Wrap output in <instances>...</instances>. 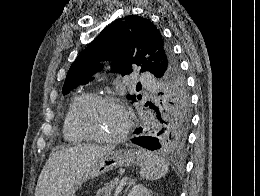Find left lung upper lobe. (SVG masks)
I'll return each instance as SVG.
<instances>
[{
    "label": "left lung upper lobe",
    "instance_id": "5c2ea615",
    "mask_svg": "<svg viewBox=\"0 0 260 196\" xmlns=\"http://www.w3.org/2000/svg\"><path fill=\"white\" fill-rule=\"evenodd\" d=\"M102 60L113 61L112 71L122 75L130 74L134 66H140L141 72L149 71L162 79L158 107L150 105L154 111L143 125L142 133L156 138L159 149L182 151L191 119L190 99L179 65L160 30L149 19L136 15L115 20L71 65L63 93L88 83L91 75L101 67L99 61ZM136 97L141 99L127 95L133 102Z\"/></svg>",
    "mask_w": 260,
    "mask_h": 196
}]
</instances>
